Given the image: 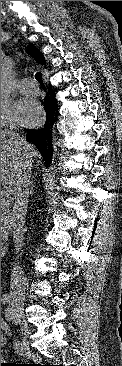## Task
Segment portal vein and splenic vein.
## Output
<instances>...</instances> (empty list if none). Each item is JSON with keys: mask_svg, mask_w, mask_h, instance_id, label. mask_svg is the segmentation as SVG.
<instances>
[{"mask_svg": "<svg viewBox=\"0 0 122 366\" xmlns=\"http://www.w3.org/2000/svg\"><path fill=\"white\" fill-rule=\"evenodd\" d=\"M1 197L7 200L10 199V195L7 191H1Z\"/></svg>", "mask_w": 122, "mask_h": 366, "instance_id": "18ae733b", "label": "portal vein and splenic vein"}]
</instances>
